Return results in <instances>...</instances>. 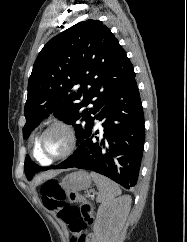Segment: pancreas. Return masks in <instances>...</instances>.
<instances>
[{"label": "pancreas", "instance_id": "cf45deb5", "mask_svg": "<svg viewBox=\"0 0 187 242\" xmlns=\"http://www.w3.org/2000/svg\"><path fill=\"white\" fill-rule=\"evenodd\" d=\"M89 198L93 200L94 199V196H89Z\"/></svg>", "mask_w": 187, "mask_h": 242}]
</instances>
